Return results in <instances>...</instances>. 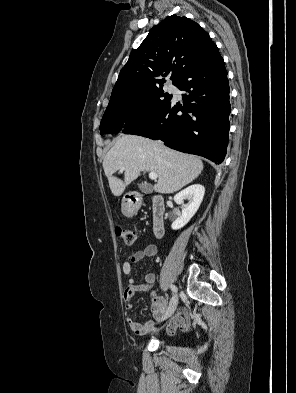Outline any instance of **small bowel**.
I'll return each mask as SVG.
<instances>
[{"mask_svg":"<svg viewBox=\"0 0 296 393\" xmlns=\"http://www.w3.org/2000/svg\"><path fill=\"white\" fill-rule=\"evenodd\" d=\"M158 253V247L155 244H149L143 249L135 252L131 257L124 261L122 271L125 275L130 276L132 272V265L144 259L155 257ZM156 281L154 273H147L144 277V283L138 284L135 279L129 277L123 294L124 306L130 310L133 307V298L136 294L141 292L151 291ZM151 313L155 320H160L167 308V301L164 297L157 295L155 292L151 293ZM130 329L137 335H143L154 331V321L148 320L144 323L138 322L133 318L127 320ZM187 324L183 318L182 312L176 314L169 324L167 331L174 333L177 329L184 330Z\"/></svg>","mask_w":296,"mask_h":393,"instance_id":"c3829d8e","label":"small bowel"}]
</instances>
